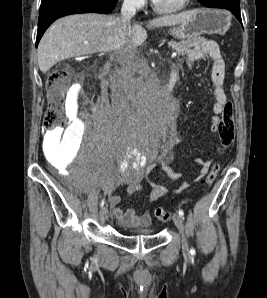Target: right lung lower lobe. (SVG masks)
I'll return each mask as SVG.
<instances>
[{
	"label": "right lung lower lobe",
	"instance_id": "obj_1",
	"mask_svg": "<svg viewBox=\"0 0 267 298\" xmlns=\"http://www.w3.org/2000/svg\"><path fill=\"white\" fill-rule=\"evenodd\" d=\"M118 0H42L36 46L43 33L56 19L77 13H109Z\"/></svg>",
	"mask_w": 267,
	"mask_h": 298
}]
</instances>
